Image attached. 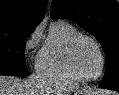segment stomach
Listing matches in <instances>:
<instances>
[{"mask_svg": "<svg viewBox=\"0 0 119 95\" xmlns=\"http://www.w3.org/2000/svg\"><path fill=\"white\" fill-rule=\"evenodd\" d=\"M67 95H90V94L87 91L76 88L72 90L70 93H68Z\"/></svg>", "mask_w": 119, "mask_h": 95, "instance_id": "1", "label": "stomach"}]
</instances>
